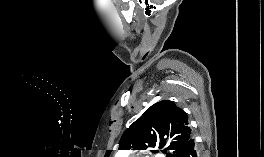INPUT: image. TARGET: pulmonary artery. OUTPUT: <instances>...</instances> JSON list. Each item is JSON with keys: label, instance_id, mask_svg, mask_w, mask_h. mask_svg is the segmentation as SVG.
Instances as JSON below:
<instances>
[{"label": "pulmonary artery", "instance_id": "pulmonary-artery-1", "mask_svg": "<svg viewBox=\"0 0 264 157\" xmlns=\"http://www.w3.org/2000/svg\"><path fill=\"white\" fill-rule=\"evenodd\" d=\"M121 154L124 155V156H127L128 153L127 152H122Z\"/></svg>", "mask_w": 264, "mask_h": 157}]
</instances>
